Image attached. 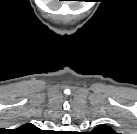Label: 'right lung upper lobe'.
<instances>
[{"mask_svg": "<svg viewBox=\"0 0 137 134\" xmlns=\"http://www.w3.org/2000/svg\"><path fill=\"white\" fill-rule=\"evenodd\" d=\"M20 132L23 133H38L40 131L39 128H37L35 125L27 123L20 127Z\"/></svg>", "mask_w": 137, "mask_h": 134, "instance_id": "1", "label": "right lung upper lobe"}]
</instances>
